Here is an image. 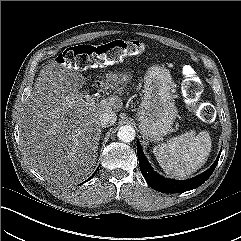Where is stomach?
<instances>
[{"mask_svg":"<svg viewBox=\"0 0 241 241\" xmlns=\"http://www.w3.org/2000/svg\"><path fill=\"white\" fill-rule=\"evenodd\" d=\"M127 74L121 78L126 82ZM174 82L166 69L153 67L144 77L142 102L137 111L140 133L158 139L169 133L178 115L173 97Z\"/></svg>","mask_w":241,"mask_h":241,"instance_id":"stomach-1","label":"stomach"}]
</instances>
